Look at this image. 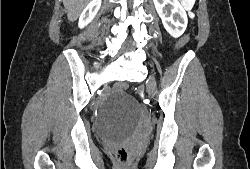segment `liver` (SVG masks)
Segmentation results:
<instances>
[{
	"instance_id": "6515ba94",
	"label": "liver",
	"mask_w": 250,
	"mask_h": 169,
	"mask_svg": "<svg viewBox=\"0 0 250 169\" xmlns=\"http://www.w3.org/2000/svg\"><path fill=\"white\" fill-rule=\"evenodd\" d=\"M88 2H90V0H63V4L67 10L68 20L74 22Z\"/></svg>"
}]
</instances>
